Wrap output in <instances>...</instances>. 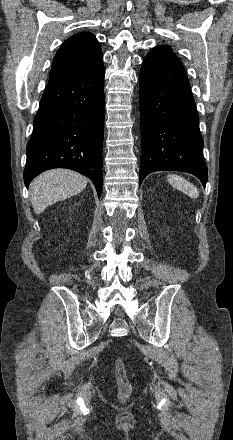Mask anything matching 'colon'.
<instances>
[{"mask_svg":"<svg viewBox=\"0 0 233 440\" xmlns=\"http://www.w3.org/2000/svg\"><path fill=\"white\" fill-rule=\"evenodd\" d=\"M115 378L118 385V397L121 401H126L131 394L132 387L122 359H118L115 363Z\"/></svg>","mask_w":233,"mask_h":440,"instance_id":"5ec220e1","label":"colon"}]
</instances>
